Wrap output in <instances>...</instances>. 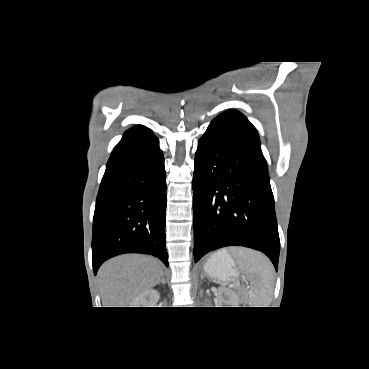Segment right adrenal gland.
I'll return each mask as SVG.
<instances>
[{
  "label": "right adrenal gland",
  "instance_id": "1",
  "mask_svg": "<svg viewBox=\"0 0 369 369\" xmlns=\"http://www.w3.org/2000/svg\"><path fill=\"white\" fill-rule=\"evenodd\" d=\"M160 283L165 284V277L163 273L161 275V280L157 284H160Z\"/></svg>",
  "mask_w": 369,
  "mask_h": 369
}]
</instances>
